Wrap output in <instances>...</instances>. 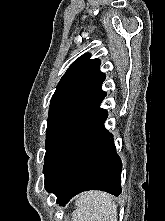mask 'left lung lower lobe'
Returning a JSON list of instances; mask_svg holds the SVG:
<instances>
[{
  "label": "left lung lower lobe",
  "mask_w": 165,
  "mask_h": 221,
  "mask_svg": "<svg viewBox=\"0 0 165 221\" xmlns=\"http://www.w3.org/2000/svg\"><path fill=\"white\" fill-rule=\"evenodd\" d=\"M101 102L59 139L45 160V188L57 196L60 206L82 191L115 196L122 191V163L104 127L108 114Z\"/></svg>",
  "instance_id": "0a47b994"
}]
</instances>
